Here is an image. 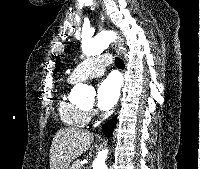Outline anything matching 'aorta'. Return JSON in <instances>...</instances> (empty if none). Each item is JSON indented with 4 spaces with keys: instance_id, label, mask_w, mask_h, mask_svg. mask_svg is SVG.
Instances as JSON below:
<instances>
[{
    "instance_id": "aorta-1",
    "label": "aorta",
    "mask_w": 200,
    "mask_h": 169,
    "mask_svg": "<svg viewBox=\"0 0 200 169\" xmlns=\"http://www.w3.org/2000/svg\"><path fill=\"white\" fill-rule=\"evenodd\" d=\"M114 39L115 34L112 32H101L95 37L83 36L81 43L82 52L86 56L98 55L102 53L105 49H107ZM72 93L82 99H85L92 95L93 90L90 89L87 85L79 83L73 87ZM107 155V150H102L101 152H99L93 161V169H108L106 165Z\"/></svg>"
}]
</instances>
